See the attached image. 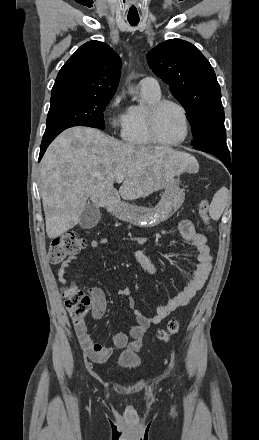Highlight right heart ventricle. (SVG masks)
<instances>
[{
  "label": "right heart ventricle",
  "instance_id": "obj_1",
  "mask_svg": "<svg viewBox=\"0 0 259 440\" xmlns=\"http://www.w3.org/2000/svg\"><path fill=\"white\" fill-rule=\"evenodd\" d=\"M143 95L146 104L132 105L128 108L126 123L121 134L125 142L138 147H148L154 144L148 134L146 113L148 107L161 98V95H151L144 92Z\"/></svg>",
  "mask_w": 259,
  "mask_h": 440
}]
</instances>
